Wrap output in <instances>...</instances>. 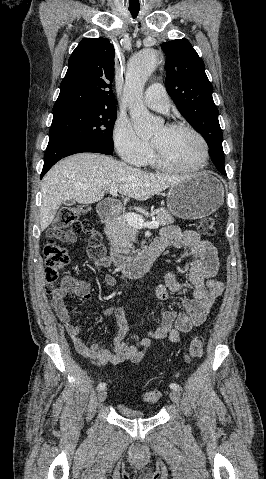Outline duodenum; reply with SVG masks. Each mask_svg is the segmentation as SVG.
<instances>
[{
  "mask_svg": "<svg viewBox=\"0 0 266 479\" xmlns=\"http://www.w3.org/2000/svg\"><path fill=\"white\" fill-rule=\"evenodd\" d=\"M116 202L106 201L97 205V213L101 219L106 222H112L115 213L114 206ZM164 244L158 239L152 242L140 254L134 257H126L116 253L110 255V261L113 262L116 270L128 278H140L144 276L154 264L156 258L164 251ZM91 258H98L103 255V248L97 245H91L88 248Z\"/></svg>",
  "mask_w": 266,
  "mask_h": 479,
  "instance_id": "1",
  "label": "duodenum"
}]
</instances>
